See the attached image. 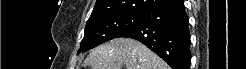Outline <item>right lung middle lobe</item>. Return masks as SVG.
I'll use <instances>...</instances> for the list:
<instances>
[{
  "label": "right lung middle lobe",
  "instance_id": "right-lung-middle-lobe-1",
  "mask_svg": "<svg viewBox=\"0 0 246 69\" xmlns=\"http://www.w3.org/2000/svg\"><path fill=\"white\" fill-rule=\"evenodd\" d=\"M141 20L142 14H118L87 21L78 53L119 37L126 30L138 25Z\"/></svg>",
  "mask_w": 246,
  "mask_h": 69
}]
</instances>
